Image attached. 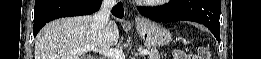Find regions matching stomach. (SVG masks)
<instances>
[{"label": "stomach", "instance_id": "1", "mask_svg": "<svg viewBox=\"0 0 261 59\" xmlns=\"http://www.w3.org/2000/svg\"><path fill=\"white\" fill-rule=\"evenodd\" d=\"M136 29L140 37L149 46L160 47L171 41L170 32L157 22L142 19L136 23Z\"/></svg>", "mask_w": 261, "mask_h": 59}]
</instances>
